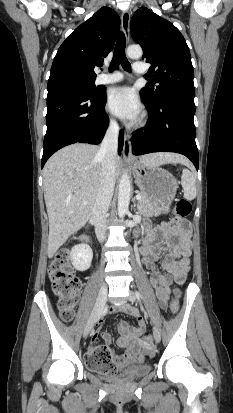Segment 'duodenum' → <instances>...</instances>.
Wrapping results in <instances>:
<instances>
[{
  "label": "duodenum",
  "instance_id": "obj_1",
  "mask_svg": "<svg viewBox=\"0 0 233 413\" xmlns=\"http://www.w3.org/2000/svg\"><path fill=\"white\" fill-rule=\"evenodd\" d=\"M84 240H85V241H88V238H87V237H84Z\"/></svg>",
  "mask_w": 233,
  "mask_h": 413
}]
</instances>
